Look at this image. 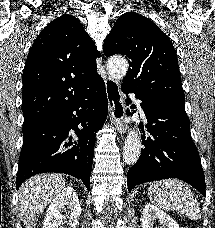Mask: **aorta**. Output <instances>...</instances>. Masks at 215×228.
I'll return each mask as SVG.
<instances>
[{
  "mask_svg": "<svg viewBox=\"0 0 215 228\" xmlns=\"http://www.w3.org/2000/svg\"><path fill=\"white\" fill-rule=\"evenodd\" d=\"M108 72L115 80H121L128 72L129 64L126 58H111L107 64ZM141 154V138L136 130H130L124 144L123 160L125 164H136Z\"/></svg>",
  "mask_w": 215,
  "mask_h": 228,
  "instance_id": "762f6f07",
  "label": "aorta"
}]
</instances>
